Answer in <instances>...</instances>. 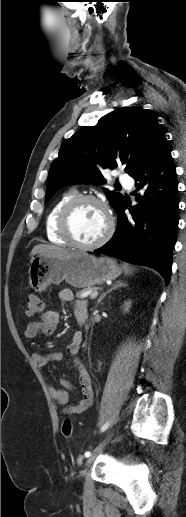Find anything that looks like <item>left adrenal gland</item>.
Listing matches in <instances>:
<instances>
[{
	"instance_id": "a2214340",
	"label": "left adrenal gland",
	"mask_w": 186,
	"mask_h": 517,
	"mask_svg": "<svg viewBox=\"0 0 186 517\" xmlns=\"http://www.w3.org/2000/svg\"><path fill=\"white\" fill-rule=\"evenodd\" d=\"M122 287H126V285L121 281H116L111 289H109L108 291H106L100 295L99 299L97 300L96 305L98 306L108 293L112 292L113 290L122 288Z\"/></svg>"
}]
</instances>
